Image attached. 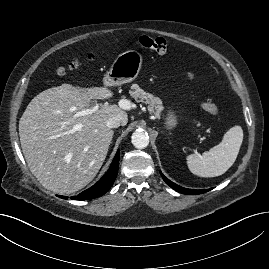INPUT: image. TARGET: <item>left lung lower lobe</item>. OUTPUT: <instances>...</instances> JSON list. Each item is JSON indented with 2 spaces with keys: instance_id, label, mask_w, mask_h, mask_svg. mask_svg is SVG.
<instances>
[{
  "instance_id": "1",
  "label": "left lung lower lobe",
  "mask_w": 269,
  "mask_h": 269,
  "mask_svg": "<svg viewBox=\"0 0 269 269\" xmlns=\"http://www.w3.org/2000/svg\"><path fill=\"white\" fill-rule=\"evenodd\" d=\"M163 180L174 190L183 193V194H188V195H196V194H202L205 193L211 189H207V190H193V189H187V188H183L175 183H173L172 181H170L169 179H167L162 173H160Z\"/></svg>"
}]
</instances>
